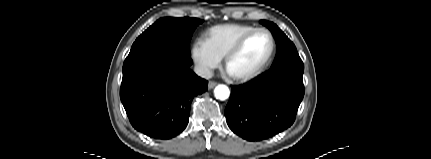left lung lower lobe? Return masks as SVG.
I'll use <instances>...</instances> for the list:
<instances>
[{
    "instance_id": "left-lung-lower-lobe-1",
    "label": "left lung lower lobe",
    "mask_w": 431,
    "mask_h": 159,
    "mask_svg": "<svg viewBox=\"0 0 431 159\" xmlns=\"http://www.w3.org/2000/svg\"><path fill=\"white\" fill-rule=\"evenodd\" d=\"M303 72L304 65H280L232 86L225 109L230 129L247 141H261L290 127L304 96Z\"/></svg>"
}]
</instances>
